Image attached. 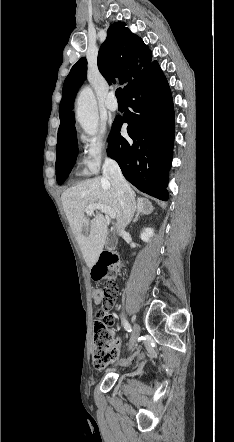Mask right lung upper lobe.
<instances>
[{"mask_svg":"<svg viewBox=\"0 0 234 442\" xmlns=\"http://www.w3.org/2000/svg\"><path fill=\"white\" fill-rule=\"evenodd\" d=\"M125 25L123 22L112 24L107 30L106 40L99 49L98 68L108 82L119 78L121 84L125 82L129 84L157 65L156 61H151L152 54L148 46ZM86 70L87 61L81 58L73 65L65 79L59 105L60 126L56 148L65 144L76 132L73 102L78 88L86 79Z\"/></svg>","mask_w":234,"mask_h":442,"instance_id":"cb5924a9","label":"right lung upper lobe"}]
</instances>
